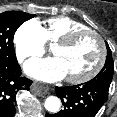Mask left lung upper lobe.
I'll list each match as a JSON object with an SVG mask.
<instances>
[{
	"label": "left lung upper lobe",
	"mask_w": 117,
	"mask_h": 117,
	"mask_svg": "<svg viewBox=\"0 0 117 117\" xmlns=\"http://www.w3.org/2000/svg\"><path fill=\"white\" fill-rule=\"evenodd\" d=\"M106 46H107V58L105 65L100 71V73L95 78L90 80V82L95 85L101 86L103 88L109 89L114 73V62L112 58L111 49L109 48L107 43Z\"/></svg>",
	"instance_id": "obj_1"
}]
</instances>
